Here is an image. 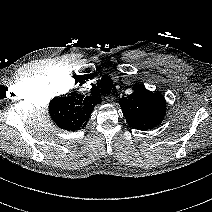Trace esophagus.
<instances>
[{"mask_svg":"<svg viewBox=\"0 0 212 212\" xmlns=\"http://www.w3.org/2000/svg\"><path fill=\"white\" fill-rule=\"evenodd\" d=\"M105 99L108 102H113L114 101V96L112 94H108V95L105 96Z\"/></svg>","mask_w":212,"mask_h":212,"instance_id":"34e87169","label":"esophagus"}]
</instances>
